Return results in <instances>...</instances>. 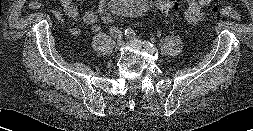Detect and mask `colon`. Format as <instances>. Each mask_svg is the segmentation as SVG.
<instances>
[{"instance_id": "5ec220e1", "label": "colon", "mask_w": 253, "mask_h": 131, "mask_svg": "<svg viewBox=\"0 0 253 131\" xmlns=\"http://www.w3.org/2000/svg\"><path fill=\"white\" fill-rule=\"evenodd\" d=\"M178 6L177 0H155L154 7L157 11L168 12L176 9ZM214 11L222 16L240 20L242 18L241 13L230 5L216 6ZM101 22L106 26L110 27L114 24V17L109 11H105L100 16Z\"/></svg>"}]
</instances>
